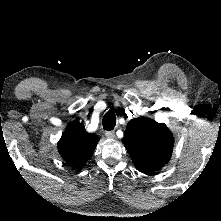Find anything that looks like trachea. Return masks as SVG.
I'll use <instances>...</instances> for the list:
<instances>
[{"label": "trachea", "mask_w": 221, "mask_h": 221, "mask_svg": "<svg viewBox=\"0 0 221 221\" xmlns=\"http://www.w3.org/2000/svg\"><path fill=\"white\" fill-rule=\"evenodd\" d=\"M104 130H113L116 125V117L112 111L105 114L102 120Z\"/></svg>", "instance_id": "trachea-1"}]
</instances>
